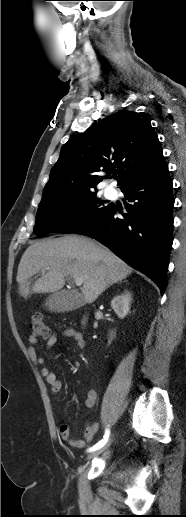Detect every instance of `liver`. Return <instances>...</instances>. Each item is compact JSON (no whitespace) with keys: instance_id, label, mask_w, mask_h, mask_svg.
<instances>
[{"instance_id":"obj_1","label":"liver","mask_w":186,"mask_h":517,"mask_svg":"<svg viewBox=\"0 0 186 517\" xmlns=\"http://www.w3.org/2000/svg\"><path fill=\"white\" fill-rule=\"evenodd\" d=\"M43 274L30 289L29 279ZM132 268L108 248L81 236L40 240L24 252L17 272L19 294L58 292L65 278H82L86 303H93L107 287L125 279Z\"/></svg>"}]
</instances>
